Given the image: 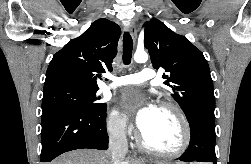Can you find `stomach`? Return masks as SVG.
<instances>
[{
  "label": "stomach",
  "mask_w": 251,
  "mask_h": 164,
  "mask_svg": "<svg viewBox=\"0 0 251 164\" xmlns=\"http://www.w3.org/2000/svg\"><path fill=\"white\" fill-rule=\"evenodd\" d=\"M156 164H166V163H164V162H158V163H156ZM175 164H177V163H175Z\"/></svg>",
  "instance_id": "obj_1"
}]
</instances>
